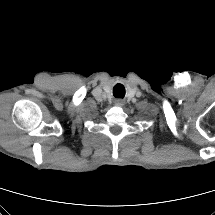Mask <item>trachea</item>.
Segmentation results:
<instances>
[{"mask_svg": "<svg viewBox=\"0 0 215 215\" xmlns=\"http://www.w3.org/2000/svg\"><path fill=\"white\" fill-rule=\"evenodd\" d=\"M113 95L116 98H123L125 96V88L121 84H117L113 89Z\"/></svg>", "mask_w": 215, "mask_h": 215, "instance_id": "obj_1", "label": "trachea"}]
</instances>
